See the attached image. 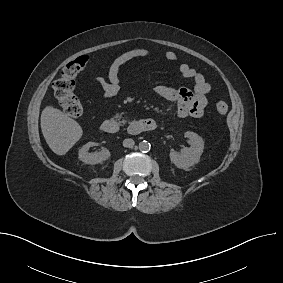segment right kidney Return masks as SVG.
I'll list each match as a JSON object with an SVG mask.
<instances>
[{"label": "right kidney", "instance_id": "ca27d5eb", "mask_svg": "<svg viewBox=\"0 0 283 283\" xmlns=\"http://www.w3.org/2000/svg\"><path fill=\"white\" fill-rule=\"evenodd\" d=\"M95 143L88 142L79 150V159L86 164H98L107 160L110 157V152L108 149L103 148L100 152L89 153L90 147L94 146Z\"/></svg>", "mask_w": 283, "mask_h": 283}]
</instances>
